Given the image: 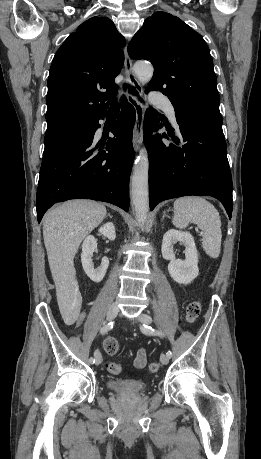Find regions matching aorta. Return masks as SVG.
<instances>
[{
  "label": "aorta",
  "mask_w": 261,
  "mask_h": 459,
  "mask_svg": "<svg viewBox=\"0 0 261 459\" xmlns=\"http://www.w3.org/2000/svg\"><path fill=\"white\" fill-rule=\"evenodd\" d=\"M134 72L141 83H148L154 69L149 63L137 62L134 65ZM148 171V153L145 148H142L134 162L131 177V201L136 220L141 226L146 222L149 211Z\"/></svg>",
  "instance_id": "1"
}]
</instances>
